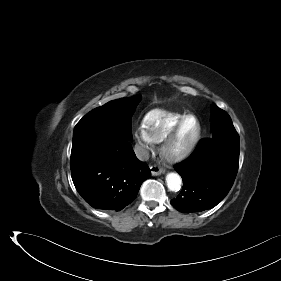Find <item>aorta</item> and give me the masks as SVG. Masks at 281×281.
<instances>
[{"label": "aorta", "instance_id": "762f6f07", "mask_svg": "<svg viewBox=\"0 0 281 281\" xmlns=\"http://www.w3.org/2000/svg\"><path fill=\"white\" fill-rule=\"evenodd\" d=\"M181 182V177L177 173H168L166 176V183L170 191H179Z\"/></svg>", "mask_w": 281, "mask_h": 281}]
</instances>
